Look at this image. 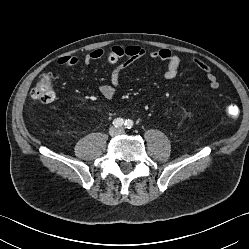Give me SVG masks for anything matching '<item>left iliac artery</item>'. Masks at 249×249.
<instances>
[{
    "mask_svg": "<svg viewBox=\"0 0 249 249\" xmlns=\"http://www.w3.org/2000/svg\"><path fill=\"white\" fill-rule=\"evenodd\" d=\"M125 127H126L127 129H131V128L133 127V121L130 120V119L126 120V121H125Z\"/></svg>",
    "mask_w": 249,
    "mask_h": 249,
    "instance_id": "left-iliac-artery-1",
    "label": "left iliac artery"
}]
</instances>
